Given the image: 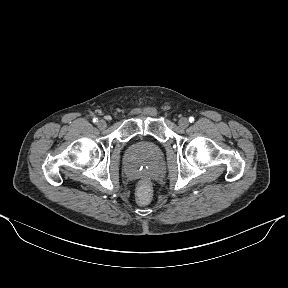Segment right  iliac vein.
Returning a JSON list of instances; mask_svg holds the SVG:
<instances>
[{"mask_svg": "<svg viewBox=\"0 0 288 288\" xmlns=\"http://www.w3.org/2000/svg\"><path fill=\"white\" fill-rule=\"evenodd\" d=\"M97 126L99 129L103 130L107 127V123L104 120H100V121H98Z\"/></svg>", "mask_w": 288, "mask_h": 288, "instance_id": "1", "label": "right iliac vein"}]
</instances>
